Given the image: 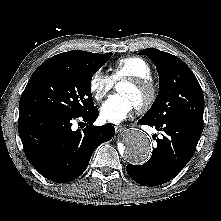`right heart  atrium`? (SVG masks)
Returning <instances> with one entry per match:
<instances>
[{"mask_svg":"<svg viewBox=\"0 0 221 221\" xmlns=\"http://www.w3.org/2000/svg\"><path fill=\"white\" fill-rule=\"evenodd\" d=\"M113 79L102 70L95 71L89 80V91L92 97L100 101L112 89Z\"/></svg>","mask_w":221,"mask_h":221,"instance_id":"obj_1","label":"right heart atrium"}]
</instances>
